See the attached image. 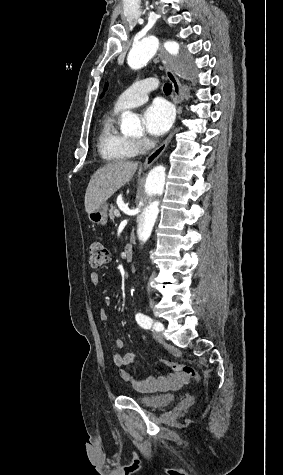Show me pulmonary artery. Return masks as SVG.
Returning <instances> with one entry per match:
<instances>
[{
	"instance_id": "1",
	"label": "pulmonary artery",
	"mask_w": 283,
	"mask_h": 475,
	"mask_svg": "<svg viewBox=\"0 0 283 475\" xmlns=\"http://www.w3.org/2000/svg\"><path fill=\"white\" fill-rule=\"evenodd\" d=\"M154 80H137L129 86L115 101L114 107L119 110L132 108L151 98L149 89H154Z\"/></svg>"
}]
</instances>
